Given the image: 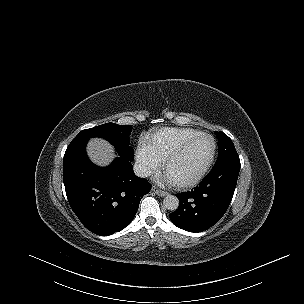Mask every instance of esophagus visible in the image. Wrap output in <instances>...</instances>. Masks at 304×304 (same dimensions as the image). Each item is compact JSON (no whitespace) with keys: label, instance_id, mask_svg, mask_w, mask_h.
Masks as SVG:
<instances>
[{"label":"esophagus","instance_id":"34e87169","mask_svg":"<svg viewBox=\"0 0 304 304\" xmlns=\"http://www.w3.org/2000/svg\"><path fill=\"white\" fill-rule=\"evenodd\" d=\"M152 191L155 192L158 196H161V197L166 196L168 194V192L163 191V190L157 188L156 186L152 187Z\"/></svg>","mask_w":304,"mask_h":304}]
</instances>
